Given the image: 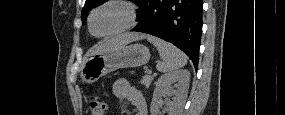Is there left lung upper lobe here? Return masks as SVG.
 Returning <instances> with one entry per match:
<instances>
[{
	"label": "left lung upper lobe",
	"mask_w": 285,
	"mask_h": 115,
	"mask_svg": "<svg viewBox=\"0 0 285 115\" xmlns=\"http://www.w3.org/2000/svg\"><path fill=\"white\" fill-rule=\"evenodd\" d=\"M131 1L140 7L141 3L144 0H131ZM105 2H106V0H86L85 5H84L82 12H81L82 23L83 24L85 23L86 16L91 9H93V8L103 4Z\"/></svg>",
	"instance_id": "obj_1"
}]
</instances>
